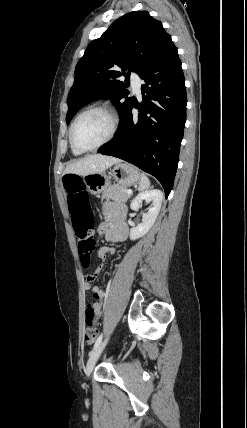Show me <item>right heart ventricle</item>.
<instances>
[{
    "label": "right heart ventricle",
    "instance_id": "obj_1",
    "mask_svg": "<svg viewBox=\"0 0 247 428\" xmlns=\"http://www.w3.org/2000/svg\"><path fill=\"white\" fill-rule=\"evenodd\" d=\"M71 149H72V152L75 154V155H80V154H82L83 152H81V151H78V150H76L75 148H73L72 146H71Z\"/></svg>",
    "mask_w": 247,
    "mask_h": 428
}]
</instances>
